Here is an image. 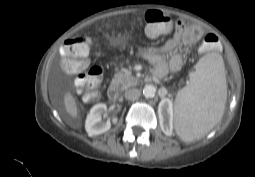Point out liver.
<instances>
[{
	"label": "liver",
	"instance_id": "6515ba94",
	"mask_svg": "<svg viewBox=\"0 0 255 177\" xmlns=\"http://www.w3.org/2000/svg\"><path fill=\"white\" fill-rule=\"evenodd\" d=\"M64 105L67 113L72 117H77V106L73 96L70 93L64 95Z\"/></svg>",
	"mask_w": 255,
	"mask_h": 177
}]
</instances>
